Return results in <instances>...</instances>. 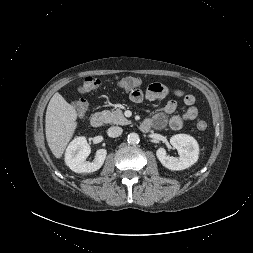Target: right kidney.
I'll return each instance as SVG.
<instances>
[{"instance_id":"ca27d5eb","label":"right kidney","mask_w":253,"mask_h":253,"mask_svg":"<svg viewBox=\"0 0 253 253\" xmlns=\"http://www.w3.org/2000/svg\"><path fill=\"white\" fill-rule=\"evenodd\" d=\"M91 153V148L85 137L75 138L67 147L65 153L66 165L76 173H91L101 168L107 151L99 149L96 152L95 159L92 162H86Z\"/></svg>"}]
</instances>
